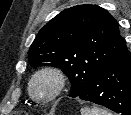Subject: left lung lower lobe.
Wrapping results in <instances>:
<instances>
[{"label": "left lung lower lobe", "mask_w": 131, "mask_h": 115, "mask_svg": "<svg viewBox=\"0 0 131 115\" xmlns=\"http://www.w3.org/2000/svg\"><path fill=\"white\" fill-rule=\"evenodd\" d=\"M77 97L120 115H131V54L128 49L99 72Z\"/></svg>", "instance_id": "left-lung-lower-lobe-1"}]
</instances>
